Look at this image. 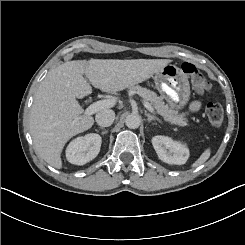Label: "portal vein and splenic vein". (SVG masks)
Segmentation results:
<instances>
[{
	"label": "portal vein and splenic vein",
	"instance_id": "portal-vein-and-splenic-vein-1",
	"mask_svg": "<svg viewBox=\"0 0 245 245\" xmlns=\"http://www.w3.org/2000/svg\"><path fill=\"white\" fill-rule=\"evenodd\" d=\"M119 102H120V98H118V97H111L108 99H102V100H99V101L93 103L92 105H90L89 108L87 109V112L89 114H92V113L100 111L102 109L114 107ZM142 104L144 105V107L147 110L152 111V106L149 102H147L146 100H142Z\"/></svg>",
	"mask_w": 245,
	"mask_h": 245
}]
</instances>
